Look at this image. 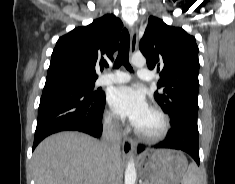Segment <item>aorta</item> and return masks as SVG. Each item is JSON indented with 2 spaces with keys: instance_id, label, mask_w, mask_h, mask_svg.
I'll list each match as a JSON object with an SVG mask.
<instances>
[{
  "instance_id": "1",
  "label": "aorta",
  "mask_w": 235,
  "mask_h": 184,
  "mask_svg": "<svg viewBox=\"0 0 235 184\" xmlns=\"http://www.w3.org/2000/svg\"><path fill=\"white\" fill-rule=\"evenodd\" d=\"M131 64L136 66V68H144V66H146V60L144 56H137V54H134L131 58ZM136 178L135 164L133 160H130L125 172V184H135Z\"/></svg>"
}]
</instances>
